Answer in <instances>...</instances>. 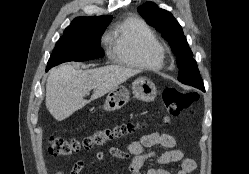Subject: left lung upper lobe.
I'll list each match as a JSON object with an SVG mask.
<instances>
[{
  "instance_id": "5c2ea615",
  "label": "left lung upper lobe",
  "mask_w": 249,
  "mask_h": 174,
  "mask_svg": "<svg viewBox=\"0 0 249 174\" xmlns=\"http://www.w3.org/2000/svg\"><path fill=\"white\" fill-rule=\"evenodd\" d=\"M138 12L145 21L162 33L176 56L179 68L178 80L183 84L196 87L203 83L196 61L193 59L192 51L189 48L182 27L171 13L160 9L152 2H146L138 7Z\"/></svg>"
}]
</instances>
